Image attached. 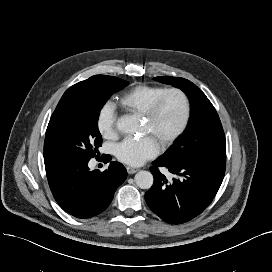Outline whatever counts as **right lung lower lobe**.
I'll list each match as a JSON object with an SVG mask.
<instances>
[{
	"mask_svg": "<svg viewBox=\"0 0 272 272\" xmlns=\"http://www.w3.org/2000/svg\"><path fill=\"white\" fill-rule=\"evenodd\" d=\"M108 156L104 155L103 159ZM88 162L86 159L45 160L46 175L55 200L77 218H90L103 212L127 177L125 167L119 162H111L103 172L90 171Z\"/></svg>",
	"mask_w": 272,
	"mask_h": 272,
	"instance_id": "obj_1",
	"label": "right lung lower lobe"
}]
</instances>
